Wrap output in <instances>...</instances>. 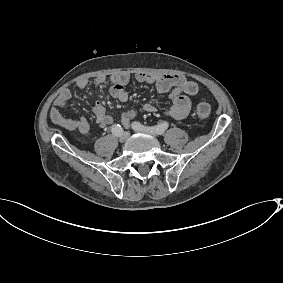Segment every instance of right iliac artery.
Wrapping results in <instances>:
<instances>
[{"label":"right iliac artery","instance_id":"obj_1","mask_svg":"<svg viewBox=\"0 0 283 283\" xmlns=\"http://www.w3.org/2000/svg\"><path fill=\"white\" fill-rule=\"evenodd\" d=\"M111 131H112L113 135L120 136L123 133V128L119 124H114L111 127Z\"/></svg>","mask_w":283,"mask_h":283}]
</instances>
